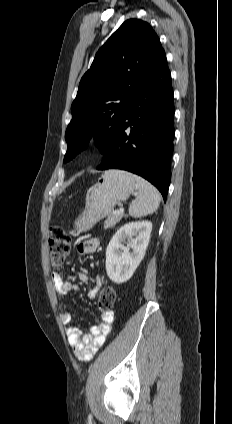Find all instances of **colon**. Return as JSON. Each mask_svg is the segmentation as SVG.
<instances>
[{
  "label": "colon",
  "mask_w": 232,
  "mask_h": 424,
  "mask_svg": "<svg viewBox=\"0 0 232 424\" xmlns=\"http://www.w3.org/2000/svg\"><path fill=\"white\" fill-rule=\"evenodd\" d=\"M70 243L71 235L65 224H56L50 228L48 248L50 263L53 268H59L65 263ZM116 298V291L113 287H103L97 298L98 310L101 312L110 311L116 303Z\"/></svg>",
  "instance_id": "colon-1"
}]
</instances>
